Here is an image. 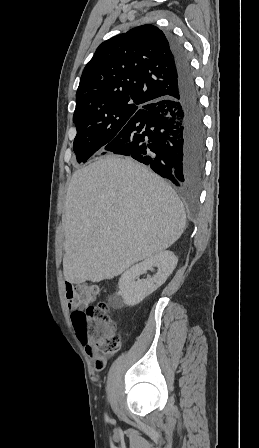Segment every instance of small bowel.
<instances>
[{
    "mask_svg": "<svg viewBox=\"0 0 259 448\" xmlns=\"http://www.w3.org/2000/svg\"><path fill=\"white\" fill-rule=\"evenodd\" d=\"M66 290V299H67V305L69 309L72 310V314L77 312V306L73 299V287L70 283H66L65 285ZM85 352L86 354L94 361V367L96 371H101L105 368L107 364V358L101 354V352L92 344L85 345Z\"/></svg>",
    "mask_w": 259,
    "mask_h": 448,
    "instance_id": "obj_1",
    "label": "small bowel"
}]
</instances>
